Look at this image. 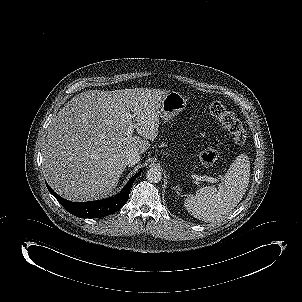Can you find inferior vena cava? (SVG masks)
<instances>
[{"instance_id":"602c4592","label":"inferior vena cava","mask_w":302,"mask_h":302,"mask_svg":"<svg viewBox=\"0 0 302 302\" xmlns=\"http://www.w3.org/2000/svg\"><path fill=\"white\" fill-rule=\"evenodd\" d=\"M140 154L138 152H130L126 155V158L124 160L125 165L127 166H134L140 161Z\"/></svg>"}]
</instances>
